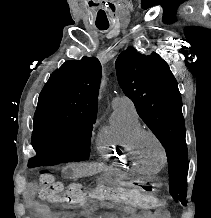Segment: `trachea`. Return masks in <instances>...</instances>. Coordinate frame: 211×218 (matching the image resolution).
Masks as SVG:
<instances>
[{"instance_id": "1", "label": "trachea", "mask_w": 211, "mask_h": 218, "mask_svg": "<svg viewBox=\"0 0 211 218\" xmlns=\"http://www.w3.org/2000/svg\"><path fill=\"white\" fill-rule=\"evenodd\" d=\"M99 30H107L109 27H97Z\"/></svg>"}]
</instances>
